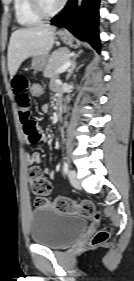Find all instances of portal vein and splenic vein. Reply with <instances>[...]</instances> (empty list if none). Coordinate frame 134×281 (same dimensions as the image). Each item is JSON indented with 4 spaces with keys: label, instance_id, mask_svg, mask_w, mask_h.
<instances>
[{
    "label": "portal vein and splenic vein",
    "instance_id": "obj_1",
    "mask_svg": "<svg viewBox=\"0 0 134 281\" xmlns=\"http://www.w3.org/2000/svg\"><path fill=\"white\" fill-rule=\"evenodd\" d=\"M71 65V61L68 60L67 62H65L60 68L57 69L56 73H63L65 72Z\"/></svg>",
    "mask_w": 134,
    "mask_h": 281
}]
</instances>
